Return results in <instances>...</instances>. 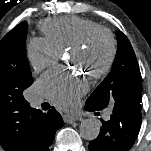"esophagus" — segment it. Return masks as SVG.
<instances>
[{
  "instance_id": "obj_1",
  "label": "esophagus",
  "mask_w": 151,
  "mask_h": 151,
  "mask_svg": "<svg viewBox=\"0 0 151 151\" xmlns=\"http://www.w3.org/2000/svg\"><path fill=\"white\" fill-rule=\"evenodd\" d=\"M78 119H80V117L78 115H69L68 114V115H64L63 116V120L66 123H72V122H74V121H76Z\"/></svg>"
}]
</instances>
